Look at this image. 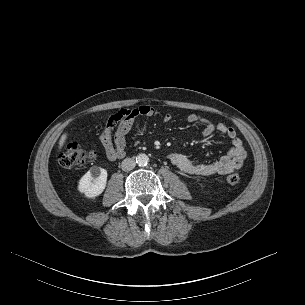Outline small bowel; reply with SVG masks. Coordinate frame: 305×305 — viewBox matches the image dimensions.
<instances>
[{
	"instance_id": "obj_1",
	"label": "small bowel",
	"mask_w": 305,
	"mask_h": 305,
	"mask_svg": "<svg viewBox=\"0 0 305 305\" xmlns=\"http://www.w3.org/2000/svg\"><path fill=\"white\" fill-rule=\"evenodd\" d=\"M155 115V110L149 105H140L132 109H121L115 112L103 127L99 139L105 156L109 160L120 159L126 154V135L134 125L136 118H150ZM172 115L166 113L162 121L168 124ZM189 123H201L204 137L219 132L231 140V149L219 160L211 163H198L190 160L182 153L174 152L168 155L170 162L182 173L194 176L225 175L240 169L247 157V152L242 140L238 137L234 128L223 123H214L211 120L196 114H189ZM116 129H113V125Z\"/></svg>"
}]
</instances>
